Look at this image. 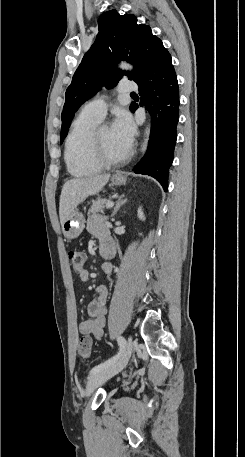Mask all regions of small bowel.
I'll list each match as a JSON object with an SVG mask.
<instances>
[{"instance_id": "small-bowel-1", "label": "small bowel", "mask_w": 245, "mask_h": 457, "mask_svg": "<svg viewBox=\"0 0 245 457\" xmlns=\"http://www.w3.org/2000/svg\"><path fill=\"white\" fill-rule=\"evenodd\" d=\"M87 230L99 240L100 251H107V259L112 258L115 253V246L104 217L99 214L90 216L87 220ZM101 270L104 274L110 275L113 271V267L111 263L106 262L102 265ZM79 275L84 282L90 277L87 269H83ZM107 297L108 291L105 286L100 285L95 289V296L87 307L90 318L79 324V332L82 335H91L97 340H100L103 337L106 315L108 312Z\"/></svg>"}]
</instances>
